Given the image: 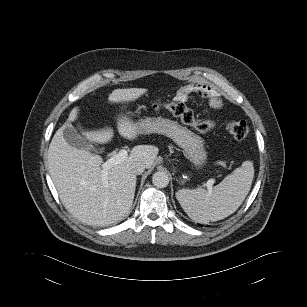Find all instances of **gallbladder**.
<instances>
[{
	"mask_svg": "<svg viewBox=\"0 0 307 307\" xmlns=\"http://www.w3.org/2000/svg\"><path fill=\"white\" fill-rule=\"evenodd\" d=\"M63 136L68 144L78 149H85L90 152H97L95 147L88 142L85 138L80 136L73 126L66 125L63 130Z\"/></svg>",
	"mask_w": 307,
	"mask_h": 307,
	"instance_id": "bac80fb5",
	"label": "gallbladder"
}]
</instances>
